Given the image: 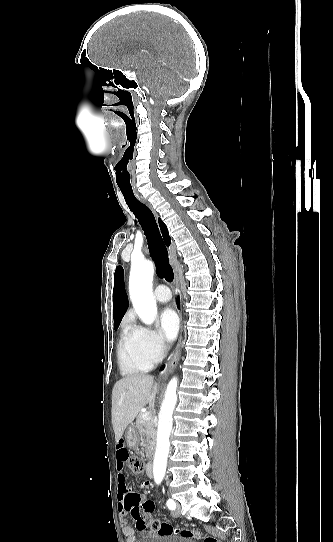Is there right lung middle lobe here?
<instances>
[{
    "label": "right lung middle lobe",
    "mask_w": 333,
    "mask_h": 542,
    "mask_svg": "<svg viewBox=\"0 0 333 542\" xmlns=\"http://www.w3.org/2000/svg\"><path fill=\"white\" fill-rule=\"evenodd\" d=\"M118 327H119V326H115V327H114V328H115V330H117V329H118Z\"/></svg>",
    "instance_id": "dd1d6c3e"
}]
</instances>
